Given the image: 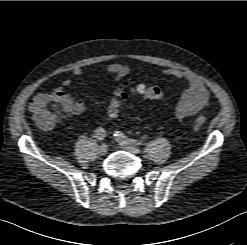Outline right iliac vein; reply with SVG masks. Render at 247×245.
<instances>
[{
  "instance_id": "1",
  "label": "right iliac vein",
  "mask_w": 247,
  "mask_h": 245,
  "mask_svg": "<svg viewBox=\"0 0 247 245\" xmlns=\"http://www.w3.org/2000/svg\"><path fill=\"white\" fill-rule=\"evenodd\" d=\"M98 152L100 155H105L108 152V146L106 144H102L99 147Z\"/></svg>"
}]
</instances>
